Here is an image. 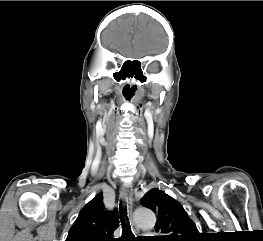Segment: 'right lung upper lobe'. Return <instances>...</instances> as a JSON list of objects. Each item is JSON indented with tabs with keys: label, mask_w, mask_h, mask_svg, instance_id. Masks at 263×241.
I'll list each match as a JSON object with an SVG mask.
<instances>
[{
	"label": "right lung upper lobe",
	"mask_w": 263,
	"mask_h": 241,
	"mask_svg": "<svg viewBox=\"0 0 263 241\" xmlns=\"http://www.w3.org/2000/svg\"><path fill=\"white\" fill-rule=\"evenodd\" d=\"M118 225L117 210H106L99 193L81 209L66 241H116L113 232Z\"/></svg>",
	"instance_id": "1"
}]
</instances>
